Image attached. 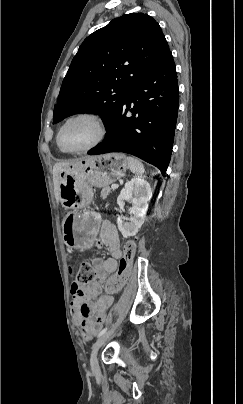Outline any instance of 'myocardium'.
<instances>
[{
  "mask_svg": "<svg viewBox=\"0 0 243 404\" xmlns=\"http://www.w3.org/2000/svg\"><path fill=\"white\" fill-rule=\"evenodd\" d=\"M78 117H89L93 120L96 121L98 128H99V135L97 137V139L89 146L82 148V149H67L64 148L61 144V133L62 130L64 129L65 125ZM106 133H107V129H106V125L105 122L103 120V118L97 114L96 112L93 111H79L76 113L71 114L70 116H68L59 126L58 130H57V142L60 148H63L66 152L68 153H87L89 151H92L94 149H96L98 146H100L102 144V142L104 141L105 137H106Z\"/></svg>",
  "mask_w": 243,
  "mask_h": 404,
  "instance_id": "f54148a6",
  "label": "myocardium"
}]
</instances>
